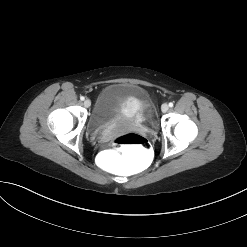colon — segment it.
I'll use <instances>...</instances> for the list:
<instances>
[{
    "mask_svg": "<svg viewBox=\"0 0 247 247\" xmlns=\"http://www.w3.org/2000/svg\"><path fill=\"white\" fill-rule=\"evenodd\" d=\"M155 159V150L138 133H126L113 141V147L104 148L97 156L98 167L106 173L139 175Z\"/></svg>",
    "mask_w": 247,
    "mask_h": 247,
    "instance_id": "1",
    "label": "colon"
}]
</instances>
